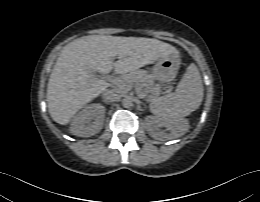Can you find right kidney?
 Returning <instances> with one entry per match:
<instances>
[{"instance_id": "ca27d5eb", "label": "right kidney", "mask_w": 260, "mask_h": 202, "mask_svg": "<svg viewBox=\"0 0 260 202\" xmlns=\"http://www.w3.org/2000/svg\"><path fill=\"white\" fill-rule=\"evenodd\" d=\"M104 117L105 107L103 105H87L72 119L70 131L80 137L92 136L102 129Z\"/></svg>"}]
</instances>
